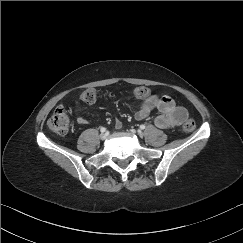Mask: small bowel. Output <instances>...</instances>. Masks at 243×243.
Here are the masks:
<instances>
[{"label": "small bowel", "mask_w": 243, "mask_h": 243, "mask_svg": "<svg viewBox=\"0 0 243 243\" xmlns=\"http://www.w3.org/2000/svg\"><path fill=\"white\" fill-rule=\"evenodd\" d=\"M142 99V104L135 111V118L137 120H144L155 111H159L160 114L155 118L154 123L158 128L166 129L181 125L188 117L187 109L177 105L174 99L168 95H154L147 89V94ZM75 111L77 122L85 124L86 120L81 114L79 103L75 104ZM114 126L117 130L122 129L121 121L116 120Z\"/></svg>", "instance_id": "small-bowel-1"}]
</instances>
